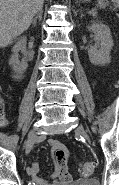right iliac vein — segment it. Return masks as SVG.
<instances>
[{"instance_id": "1", "label": "right iliac vein", "mask_w": 119, "mask_h": 185, "mask_svg": "<svg viewBox=\"0 0 119 185\" xmlns=\"http://www.w3.org/2000/svg\"><path fill=\"white\" fill-rule=\"evenodd\" d=\"M36 138H37V134H36L35 130H31L29 132L28 138L25 143V153L26 154H28L31 151V149L36 141Z\"/></svg>"}]
</instances>
